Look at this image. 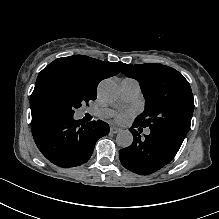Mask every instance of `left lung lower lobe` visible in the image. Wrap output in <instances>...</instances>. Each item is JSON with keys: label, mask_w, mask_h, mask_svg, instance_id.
Segmentation results:
<instances>
[{"label": "left lung lower lobe", "mask_w": 219, "mask_h": 219, "mask_svg": "<svg viewBox=\"0 0 219 219\" xmlns=\"http://www.w3.org/2000/svg\"><path fill=\"white\" fill-rule=\"evenodd\" d=\"M130 131L133 133V143L119 151V158L126 169L140 175L154 173L167 165L183 142L175 135L154 130L142 138L140 132L143 129L135 122Z\"/></svg>", "instance_id": "left-lung-lower-lobe-1"}]
</instances>
